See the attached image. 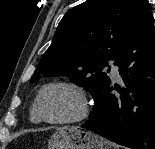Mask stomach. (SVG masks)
Instances as JSON below:
<instances>
[{
    "label": "stomach",
    "instance_id": "stomach-1",
    "mask_svg": "<svg viewBox=\"0 0 155 149\" xmlns=\"http://www.w3.org/2000/svg\"><path fill=\"white\" fill-rule=\"evenodd\" d=\"M48 149H117L99 135L77 127L59 128L49 139Z\"/></svg>",
    "mask_w": 155,
    "mask_h": 149
}]
</instances>
